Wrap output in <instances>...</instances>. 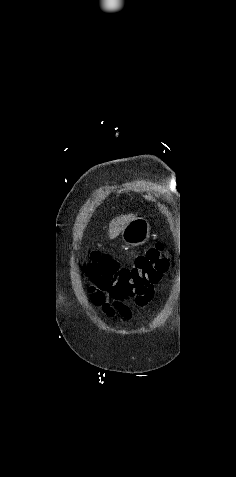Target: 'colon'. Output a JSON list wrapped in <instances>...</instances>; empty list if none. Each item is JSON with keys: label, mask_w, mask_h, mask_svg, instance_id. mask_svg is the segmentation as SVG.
<instances>
[{"label": "colon", "mask_w": 236, "mask_h": 477, "mask_svg": "<svg viewBox=\"0 0 236 477\" xmlns=\"http://www.w3.org/2000/svg\"><path fill=\"white\" fill-rule=\"evenodd\" d=\"M83 268L92 282L90 292L94 303L103 306L110 299L114 307L123 313L128 311L125 301L134 300L141 305L152 293L154 284L168 268V260L158 244L139 256L131 267L122 266L117 260L95 252Z\"/></svg>", "instance_id": "5ec220e1"}]
</instances>
